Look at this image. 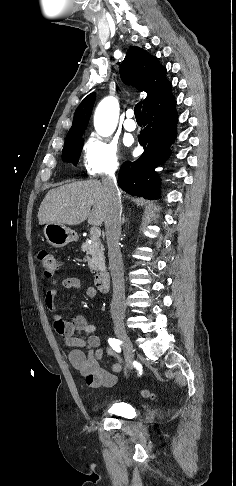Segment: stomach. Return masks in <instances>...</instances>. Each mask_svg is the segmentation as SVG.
I'll list each match as a JSON object with an SVG mask.
<instances>
[{
	"label": "stomach",
	"mask_w": 236,
	"mask_h": 486,
	"mask_svg": "<svg viewBox=\"0 0 236 486\" xmlns=\"http://www.w3.org/2000/svg\"><path fill=\"white\" fill-rule=\"evenodd\" d=\"M44 235L48 243L56 248L64 247L76 239L71 228L58 223H47L44 227Z\"/></svg>",
	"instance_id": "obj_1"
}]
</instances>
